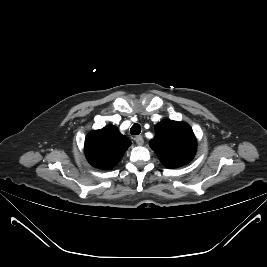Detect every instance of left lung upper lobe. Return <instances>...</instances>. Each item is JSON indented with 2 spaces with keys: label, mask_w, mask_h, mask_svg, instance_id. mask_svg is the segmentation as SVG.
I'll list each match as a JSON object with an SVG mask.
<instances>
[{
  "label": "left lung upper lobe",
  "mask_w": 267,
  "mask_h": 267,
  "mask_svg": "<svg viewBox=\"0 0 267 267\" xmlns=\"http://www.w3.org/2000/svg\"><path fill=\"white\" fill-rule=\"evenodd\" d=\"M155 131L149 145L165 167L177 168L193 159L197 142L187 123L165 119L156 125Z\"/></svg>",
  "instance_id": "obj_1"
}]
</instances>
